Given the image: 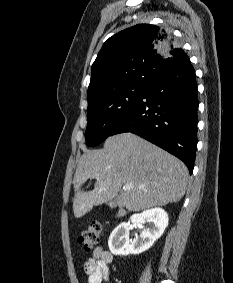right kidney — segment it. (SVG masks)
Masks as SVG:
<instances>
[{
    "instance_id": "right-kidney-1",
    "label": "right kidney",
    "mask_w": 233,
    "mask_h": 283,
    "mask_svg": "<svg viewBox=\"0 0 233 283\" xmlns=\"http://www.w3.org/2000/svg\"><path fill=\"white\" fill-rule=\"evenodd\" d=\"M150 227L141 231L140 236L129 240V230L134 226L143 228L145 223ZM168 226V215L162 208L145 210L134 214L128 222L118 225L111 233L108 246L114 255L140 254L148 250L154 242L162 236Z\"/></svg>"
}]
</instances>
